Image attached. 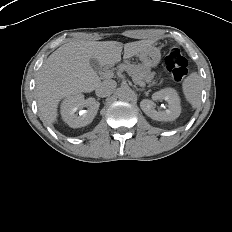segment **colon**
<instances>
[{
    "label": "colon",
    "instance_id": "1",
    "mask_svg": "<svg viewBox=\"0 0 232 232\" xmlns=\"http://www.w3.org/2000/svg\"><path fill=\"white\" fill-rule=\"evenodd\" d=\"M164 65L171 78L175 81H181L187 75V59L177 48H173L168 52L164 59Z\"/></svg>",
    "mask_w": 232,
    "mask_h": 232
}]
</instances>
